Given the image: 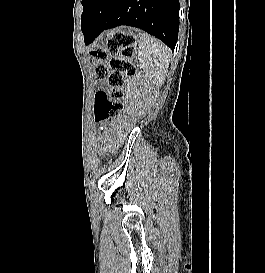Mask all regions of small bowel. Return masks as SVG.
<instances>
[{
    "label": "small bowel",
    "instance_id": "c3829d8e",
    "mask_svg": "<svg viewBox=\"0 0 265 273\" xmlns=\"http://www.w3.org/2000/svg\"><path fill=\"white\" fill-rule=\"evenodd\" d=\"M109 132H110V131H109ZM110 136H112L111 133H110ZM112 137H113V136H112ZM113 143H114V138H113V140H112V144H113Z\"/></svg>",
    "mask_w": 265,
    "mask_h": 273
}]
</instances>
